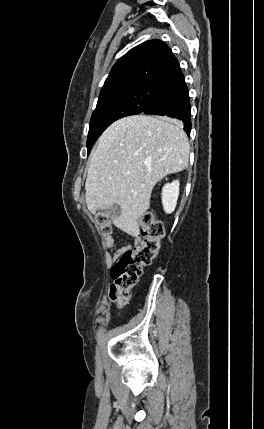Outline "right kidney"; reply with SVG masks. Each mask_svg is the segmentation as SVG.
<instances>
[{"label":"right kidney","mask_w":264,"mask_h":429,"mask_svg":"<svg viewBox=\"0 0 264 429\" xmlns=\"http://www.w3.org/2000/svg\"><path fill=\"white\" fill-rule=\"evenodd\" d=\"M179 185V181L175 180L165 184L162 189V205L167 214H171L175 210L179 196Z\"/></svg>","instance_id":"obj_1"}]
</instances>
